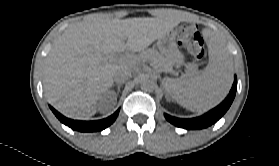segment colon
Listing matches in <instances>:
<instances>
[{
    "label": "colon",
    "instance_id": "colon-1",
    "mask_svg": "<svg viewBox=\"0 0 279 166\" xmlns=\"http://www.w3.org/2000/svg\"><path fill=\"white\" fill-rule=\"evenodd\" d=\"M177 37L180 46L187 50L196 60L200 61L204 58V41L196 25L180 26L177 29Z\"/></svg>",
    "mask_w": 279,
    "mask_h": 166
}]
</instances>
